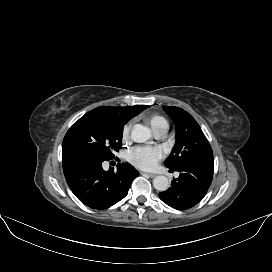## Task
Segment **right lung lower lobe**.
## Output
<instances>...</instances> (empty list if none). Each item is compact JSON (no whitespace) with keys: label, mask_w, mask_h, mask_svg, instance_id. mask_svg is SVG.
<instances>
[{"label":"right lung lower lobe","mask_w":272,"mask_h":272,"mask_svg":"<svg viewBox=\"0 0 272 272\" xmlns=\"http://www.w3.org/2000/svg\"><path fill=\"white\" fill-rule=\"evenodd\" d=\"M103 161L82 157H62L63 171L74 195L92 209H106L123 199L139 172L128 163L117 171L102 168Z\"/></svg>","instance_id":"obj_1"}]
</instances>
